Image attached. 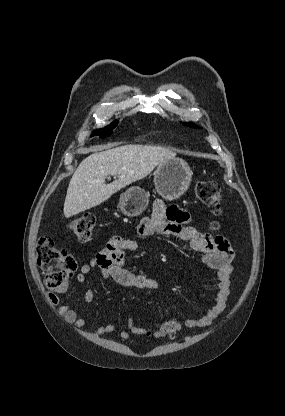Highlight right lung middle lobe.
Returning a JSON list of instances; mask_svg holds the SVG:
<instances>
[{
  "instance_id": "dd1d6c3e",
  "label": "right lung middle lobe",
  "mask_w": 285,
  "mask_h": 416,
  "mask_svg": "<svg viewBox=\"0 0 285 416\" xmlns=\"http://www.w3.org/2000/svg\"><path fill=\"white\" fill-rule=\"evenodd\" d=\"M117 123L118 121L115 120L105 128L95 130L91 136H100L101 138L108 137L112 134V130L116 127Z\"/></svg>"
}]
</instances>
